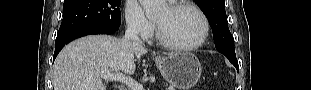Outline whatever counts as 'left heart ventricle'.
<instances>
[{"instance_id": "1", "label": "left heart ventricle", "mask_w": 311, "mask_h": 90, "mask_svg": "<svg viewBox=\"0 0 311 90\" xmlns=\"http://www.w3.org/2000/svg\"><path fill=\"white\" fill-rule=\"evenodd\" d=\"M162 35L177 45H190L199 40L203 33L200 17L189 8L170 11L166 7L156 18Z\"/></svg>"}]
</instances>
